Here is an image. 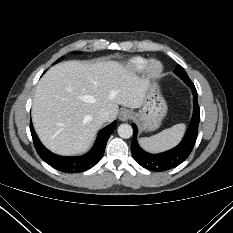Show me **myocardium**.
<instances>
[{
	"mask_svg": "<svg viewBox=\"0 0 233 233\" xmlns=\"http://www.w3.org/2000/svg\"><path fill=\"white\" fill-rule=\"evenodd\" d=\"M163 70L162 64L155 59H151L146 64V72L150 77H158Z\"/></svg>",
	"mask_w": 233,
	"mask_h": 233,
	"instance_id": "1",
	"label": "myocardium"
}]
</instances>
